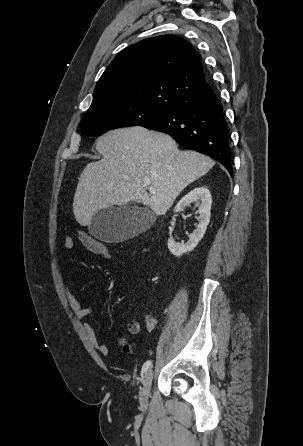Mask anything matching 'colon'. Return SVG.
I'll return each mask as SVG.
<instances>
[{
    "instance_id": "obj_1",
    "label": "colon",
    "mask_w": 303,
    "mask_h": 446,
    "mask_svg": "<svg viewBox=\"0 0 303 446\" xmlns=\"http://www.w3.org/2000/svg\"><path fill=\"white\" fill-rule=\"evenodd\" d=\"M96 255L100 256L102 258H105V259H111L112 258V255H111V252H110L108 246L106 244H104L103 242H101V241H98L97 254ZM120 344H121L122 349H123V351L125 353H131L132 352V346L129 343H127L124 339L121 340Z\"/></svg>"
}]
</instances>
